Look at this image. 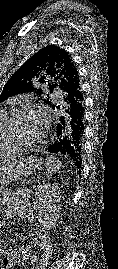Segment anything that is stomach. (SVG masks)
<instances>
[{"mask_svg": "<svg viewBox=\"0 0 118 269\" xmlns=\"http://www.w3.org/2000/svg\"><path fill=\"white\" fill-rule=\"evenodd\" d=\"M40 161L35 157L20 158L15 162L0 167V193L4 187L22 177L31 175L40 166ZM1 203V199H0Z\"/></svg>", "mask_w": 118, "mask_h": 269, "instance_id": "stomach-1", "label": "stomach"}]
</instances>
